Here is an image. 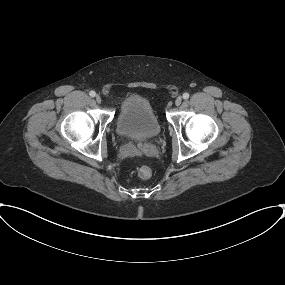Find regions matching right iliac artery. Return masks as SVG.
<instances>
[{
	"label": "right iliac artery",
	"instance_id": "obj_1",
	"mask_svg": "<svg viewBox=\"0 0 285 285\" xmlns=\"http://www.w3.org/2000/svg\"><path fill=\"white\" fill-rule=\"evenodd\" d=\"M89 95H90L91 97H95L96 93H95V91H90V92H89Z\"/></svg>",
	"mask_w": 285,
	"mask_h": 285
}]
</instances>
